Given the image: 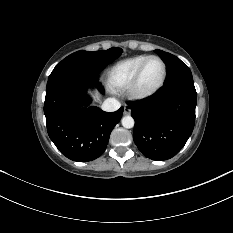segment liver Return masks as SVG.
I'll return each mask as SVG.
<instances>
[{"mask_svg": "<svg viewBox=\"0 0 233 233\" xmlns=\"http://www.w3.org/2000/svg\"><path fill=\"white\" fill-rule=\"evenodd\" d=\"M95 99H96V100H99V99H100V96H99V94H98L97 92L95 93Z\"/></svg>", "mask_w": 233, "mask_h": 233, "instance_id": "6515ba94", "label": "liver"}]
</instances>
